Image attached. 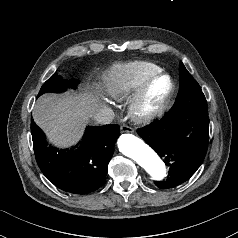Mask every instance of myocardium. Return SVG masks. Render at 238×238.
Masks as SVG:
<instances>
[{"label": "myocardium", "instance_id": "f54148a6", "mask_svg": "<svg viewBox=\"0 0 238 238\" xmlns=\"http://www.w3.org/2000/svg\"><path fill=\"white\" fill-rule=\"evenodd\" d=\"M166 80L167 87L162 96L152 105L149 104V95L153 85L159 80ZM174 84L169 75L156 73L149 77L139 88L130 101L129 115L138 124H147L156 119L167 106L173 93Z\"/></svg>", "mask_w": 238, "mask_h": 238}]
</instances>
